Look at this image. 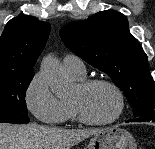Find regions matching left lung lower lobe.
<instances>
[{
	"label": "left lung lower lobe",
	"mask_w": 155,
	"mask_h": 149,
	"mask_svg": "<svg viewBox=\"0 0 155 149\" xmlns=\"http://www.w3.org/2000/svg\"><path fill=\"white\" fill-rule=\"evenodd\" d=\"M155 122V112H152L150 114L128 120L127 122Z\"/></svg>",
	"instance_id": "obj_1"
}]
</instances>
